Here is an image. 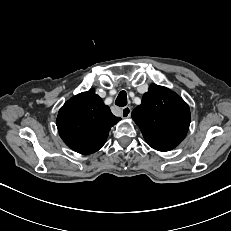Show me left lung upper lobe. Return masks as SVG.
I'll return each instance as SVG.
<instances>
[{
  "mask_svg": "<svg viewBox=\"0 0 231 231\" xmlns=\"http://www.w3.org/2000/svg\"><path fill=\"white\" fill-rule=\"evenodd\" d=\"M146 142L158 151H169L185 138L190 125V110L170 89L151 84L141 105L132 112Z\"/></svg>",
  "mask_w": 231,
  "mask_h": 231,
  "instance_id": "left-lung-upper-lobe-1",
  "label": "left lung upper lobe"
}]
</instances>
